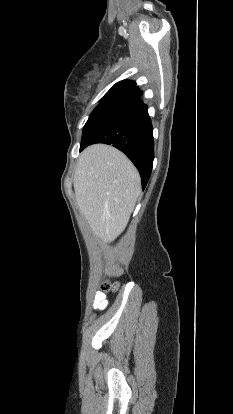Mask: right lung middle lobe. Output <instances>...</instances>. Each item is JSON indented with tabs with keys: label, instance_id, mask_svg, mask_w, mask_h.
<instances>
[{
	"label": "right lung middle lobe",
	"instance_id": "dd1d6c3e",
	"mask_svg": "<svg viewBox=\"0 0 233 414\" xmlns=\"http://www.w3.org/2000/svg\"><path fill=\"white\" fill-rule=\"evenodd\" d=\"M134 85V82L133 81H130V80H123V81H120V82H118V83H116L103 97H102V99L100 100V102H102V101H104V100H106V99H108V98H110V97H112V96H115V95H117V94H120V93H122V92H124V91H126L127 89H129V88H131L132 86Z\"/></svg>",
	"mask_w": 233,
	"mask_h": 414
}]
</instances>
